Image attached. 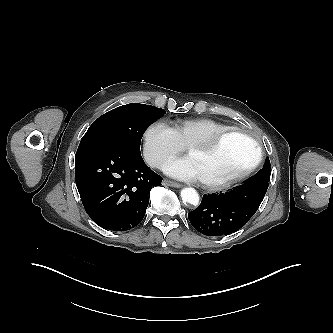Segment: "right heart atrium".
I'll use <instances>...</instances> for the list:
<instances>
[{"instance_id": "obj_1", "label": "right heart atrium", "mask_w": 333, "mask_h": 333, "mask_svg": "<svg viewBox=\"0 0 333 333\" xmlns=\"http://www.w3.org/2000/svg\"><path fill=\"white\" fill-rule=\"evenodd\" d=\"M144 155L153 167L161 168L184 149L174 130L163 121L151 123L144 132Z\"/></svg>"}]
</instances>
